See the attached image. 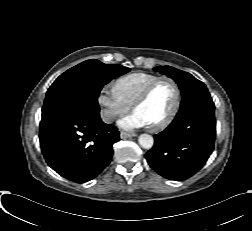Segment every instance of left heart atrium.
Segmentation results:
<instances>
[{
	"label": "left heart atrium",
	"instance_id": "1",
	"mask_svg": "<svg viewBox=\"0 0 252 231\" xmlns=\"http://www.w3.org/2000/svg\"><path fill=\"white\" fill-rule=\"evenodd\" d=\"M118 124L121 128H124L127 130H131L135 128H142V127L147 126L146 122L136 112H133L132 114L122 118Z\"/></svg>",
	"mask_w": 252,
	"mask_h": 231
}]
</instances>
